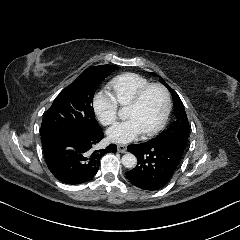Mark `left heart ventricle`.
<instances>
[{
  "mask_svg": "<svg viewBox=\"0 0 240 240\" xmlns=\"http://www.w3.org/2000/svg\"><path fill=\"white\" fill-rule=\"evenodd\" d=\"M163 107L162 92L158 88H151L144 94L137 108L123 112V118L135 121L142 132L149 131L160 121Z\"/></svg>",
  "mask_w": 240,
  "mask_h": 240,
  "instance_id": "b2bd125f",
  "label": "left heart ventricle"
}]
</instances>
